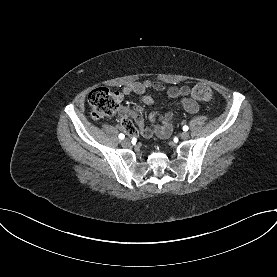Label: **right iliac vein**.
Returning a JSON list of instances; mask_svg holds the SVG:
<instances>
[{
  "label": "right iliac vein",
  "mask_w": 277,
  "mask_h": 277,
  "mask_svg": "<svg viewBox=\"0 0 277 277\" xmlns=\"http://www.w3.org/2000/svg\"><path fill=\"white\" fill-rule=\"evenodd\" d=\"M121 145L124 146V147H128L131 145V142L129 139L125 138L121 141Z\"/></svg>",
  "instance_id": "right-iliac-vein-1"
}]
</instances>
